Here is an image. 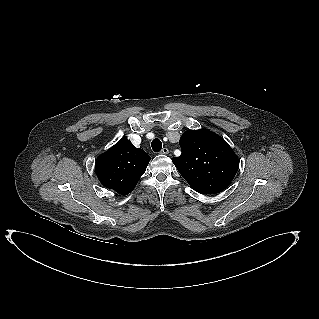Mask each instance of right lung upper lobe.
Here are the masks:
<instances>
[{
  "mask_svg": "<svg viewBox=\"0 0 319 319\" xmlns=\"http://www.w3.org/2000/svg\"><path fill=\"white\" fill-rule=\"evenodd\" d=\"M150 160L143 149L122 138L97 158L96 174L105 187L124 196L134 189Z\"/></svg>",
  "mask_w": 319,
  "mask_h": 319,
  "instance_id": "1",
  "label": "right lung upper lobe"
}]
</instances>
